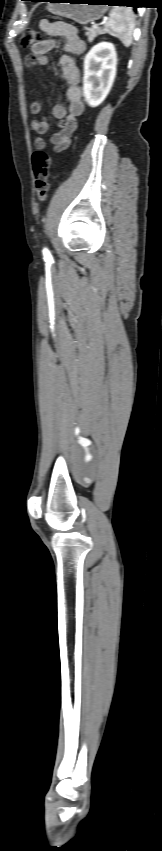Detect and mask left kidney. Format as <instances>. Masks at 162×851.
Instances as JSON below:
<instances>
[{
  "mask_svg": "<svg viewBox=\"0 0 162 851\" xmlns=\"http://www.w3.org/2000/svg\"><path fill=\"white\" fill-rule=\"evenodd\" d=\"M117 54L112 43L93 46L84 59L83 95L90 107L107 97L116 75Z\"/></svg>",
  "mask_w": 162,
  "mask_h": 851,
  "instance_id": "5707ae66",
  "label": "left kidney"
}]
</instances>
